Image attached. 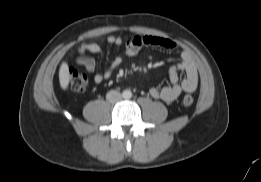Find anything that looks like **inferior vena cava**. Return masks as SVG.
Listing matches in <instances>:
<instances>
[{"label":"inferior vena cava","mask_w":261,"mask_h":182,"mask_svg":"<svg viewBox=\"0 0 261 182\" xmlns=\"http://www.w3.org/2000/svg\"><path fill=\"white\" fill-rule=\"evenodd\" d=\"M106 99L110 102V103H116L118 101H120L122 99V95L120 92L118 91H109L106 94Z\"/></svg>","instance_id":"obj_1"}]
</instances>
